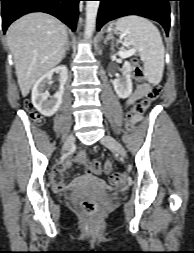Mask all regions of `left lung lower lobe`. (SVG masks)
Segmentation results:
<instances>
[{
  "mask_svg": "<svg viewBox=\"0 0 194 253\" xmlns=\"http://www.w3.org/2000/svg\"><path fill=\"white\" fill-rule=\"evenodd\" d=\"M97 29L113 19L126 15H139L159 22L169 33L172 0H99Z\"/></svg>",
  "mask_w": 194,
  "mask_h": 253,
  "instance_id": "obj_1",
  "label": "left lung lower lobe"
}]
</instances>
